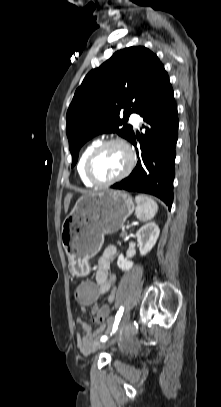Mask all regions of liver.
Listing matches in <instances>:
<instances>
[{"mask_svg": "<svg viewBox=\"0 0 221 407\" xmlns=\"http://www.w3.org/2000/svg\"><path fill=\"white\" fill-rule=\"evenodd\" d=\"M72 196H73L72 193H68V194L66 195L65 199H64V209H65V212L68 211L69 204H70V201H71Z\"/></svg>", "mask_w": 221, "mask_h": 407, "instance_id": "1", "label": "liver"}]
</instances>
